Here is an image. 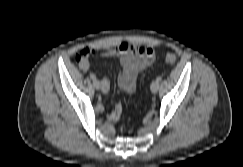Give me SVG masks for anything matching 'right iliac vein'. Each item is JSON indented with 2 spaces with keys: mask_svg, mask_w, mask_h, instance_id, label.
<instances>
[{
  "mask_svg": "<svg viewBox=\"0 0 243 167\" xmlns=\"http://www.w3.org/2000/svg\"><path fill=\"white\" fill-rule=\"evenodd\" d=\"M93 86H94L95 89L99 90L100 89V82L98 80H94Z\"/></svg>",
  "mask_w": 243,
  "mask_h": 167,
  "instance_id": "right-iliac-vein-1",
  "label": "right iliac vein"
}]
</instances>
